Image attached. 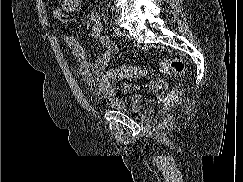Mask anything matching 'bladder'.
<instances>
[{"label":"bladder","mask_w":243,"mask_h":182,"mask_svg":"<svg viewBox=\"0 0 243 182\" xmlns=\"http://www.w3.org/2000/svg\"><path fill=\"white\" fill-rule=\"evenodd\" d=\"M105 105L111 110L137 114L144 109L145 101L138 94H130L126 96L111 97L106 101Z\"/></svg>","instance_id":"31cf9c89"}]
</instances>
